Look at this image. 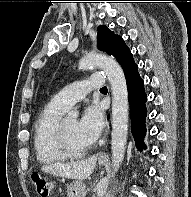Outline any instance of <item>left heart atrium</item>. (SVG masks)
I'll return each mask as SVG.
<instances>
[{
    "instance_id": "obj_1",
    "label": "left heart atrium",
    "mask_w": 191,
    "mask_h": 197,
    "mask_svg": "<svg viewBox=\"0 0 191 197\" xmlns=\"http://www.w3.org/2000/svg\"><path fill=\"white\" fill-rule=\"evenodd\" d=\"M103 126L104 119L101 108L96 104L89 105L77 123L78 135L86 144L90 145L98 139Z\"/></svg>"
}]
</instances>
